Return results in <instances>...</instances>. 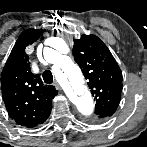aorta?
<instances>
[{"label":"aorta","mask_w":147,"mask_h":147,"mask_svg":"<svg viewBox=\"0 0 147 147\" xmlns=\"http://www.w3.org/2000/svg\"><path fill=\"white\" fill-rule=\"evenodd\" d=\"M45 58L49 63L61 66L62 71L64 72L62 74V79L73 97L84 95L85 86L82 73L69 57L63 56L53 49H46ZM88 108L89 106H83V111H87Z\"/></svg>","instance_id":"762f6f07"}]
</instances>
